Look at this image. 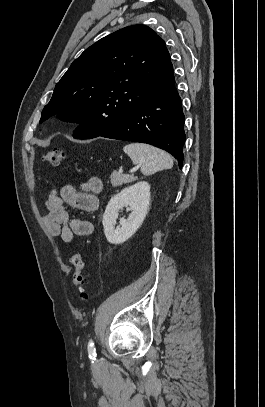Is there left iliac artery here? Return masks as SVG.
Wrapping results in <instances>:
<instances>
[{"label":"left iliac artery","instance_id":"1","mask_svg":"<svg viewBox=\"0 0 265 407\" xmlns=\"http://www.w3.org/2000/svg\"><path fill=\"white\" fill-rule=\"evenodd\" d=\"M88 353H89V358L92 360H95L96 352H95L94 343H93L92 339L89 341V344H88Z\"/></svg>","mask_w":265,"mask_h":407}]
</instances>
